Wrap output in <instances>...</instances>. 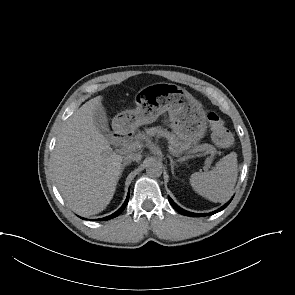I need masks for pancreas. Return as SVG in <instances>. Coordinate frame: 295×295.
Segmentation results:
<instances>
[{
	"label": "pancreas",
	"mask_w": 295,
	"mask_h": 295,
	"mask_svg": "<svg viewBox=\"0 0 295 295\" xmlns=\"http://www.w3.org/2000/svg\"><path fill=\"white\" fill-rule=\"evenodd\" d=\"M147 136H150V137L156 136L158 138H161V137L166 138L168 140L169 147L172 148L176 152V154L182 153V151L186 147H188V146L182 145L181 142H179V140L175 137L174 134L170 133L167 129H163L161 127H152V128L146 129L145 133L139 134L137 138L141 139ZM192 151H206L210 153L212 156L217 154L216 148L213 145L206 144V143L202 145H195Z\"/></svg>",
	"instance_id": "cf45deb5"
}]
</instances>
